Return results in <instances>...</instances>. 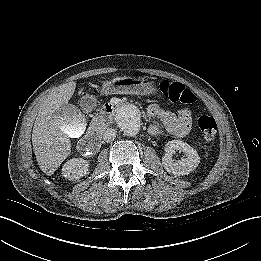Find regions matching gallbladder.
I'll use <instances>...</instances> for the list:
<instances>
[{"instance_id":"1","label":"gallbladder","mask_w":261,"mask_h":261,"mask_svg":"<svg viewBox=\"0 0 261 261\" xmlns=\"http://www.w3.org/2000/svg\"><path fill=\"white\" fill-rule=\"evenodd\" d=\"M57 120L59 128L70 138L81 137L87 129L84 113L76 105L70 103L59 108Z\"/></svg>"}]
</instances>
